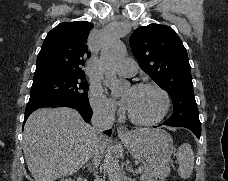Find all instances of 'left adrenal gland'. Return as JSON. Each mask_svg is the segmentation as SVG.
I'll use <instances>...</instances> for the list:
<instances>
[{
    "label": "left adrenal gland",
    "mask_w": 228,
    "mask_h": 181,
    "mask_svg": "<svg viewBox=\"0 0 228 181\" xmlns=\"http://www.w3.org/2000/svg\"><path fill=\"white\" fill-rule=\"evenodd\" d=\"M126 171H129V173H132V175H136V171L132 169V165H129V163L126 165Z\"/></svg>",
    "instance_id": "a2214340"
}]
</instances>
